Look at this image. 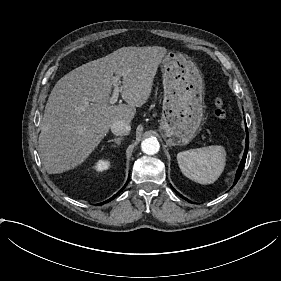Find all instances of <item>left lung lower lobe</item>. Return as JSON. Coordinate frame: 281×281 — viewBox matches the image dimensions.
Wrapping results in <instances>:
<instances>
[{
	"label": "left lung lower lobe",
	"mask_w": 281,
	"mask_h": 281,
	"mask_svg": "<svg viewBox=\"0 0 281 281\" xmlns=\"http://www.w3.org/2000/svg\"><path fill=\"white\" fill-rule=\"evenodd\" d=\"M246 125V124H245ZM246 146H245V152H244V155H243V158L241 160V163L239 165V168L237 170V173H236V178H235V181H234V185L237 183V181L239 180L240 176H241V173H242V170L244 168V165H245V161H246V157H247V152H248V147H249V136H248V129H247V125H246ZM174 190V189H173ZM175 191V190H174ZM180 197H182L183 199L187 200L185 197H183L182 195H180L177 191H175ZM189 201V200H187ZM191 202V201H189ZM192 203V202H191Z\"/></svg>",
	"instance_id": "left-lung-lower-lobe-1"
}]
</instances>
